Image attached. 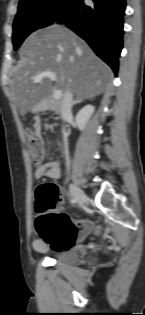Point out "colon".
Returning a JSON list of instances; mask_svg holds the SVG:
<instances>
[{"instance_id": "1", "label": "colon", "mask_w": 145, "mask_h": 315, "mask_svg": "<svg viewBox=\"0 0 145 315\" xmlns=\"http://www.w3.org/2000/svg\"><path fill=\"white\" fill-rule=\"evenodd\" d=\"M27 145L32 161L40 164L44 158V147L40 136L29 129ZM61 192L57 184L47 182L39 185L35 193L36 231L48 246L62 250L73 247L77 240L93 232V225L86 220L72 221L59 210Z\"/></svg>"}]
</instances>
